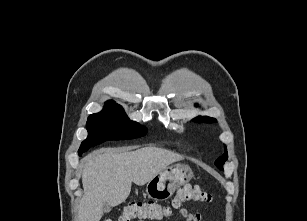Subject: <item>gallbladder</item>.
Returning <instances> with one entry per match:
<instances>
[{
    "mask_svg": "<svg viewBox=\"0 0 307 221\" xmlns=\"http://www.w3.org/2000/svg\"><path fill=\"white\" fill-rule=\"evenodd\" d=\"M110 211H111V206H110L109 204L105 203V204L103 205V212H104V213H108V212H110Z\"/></svg>",
    "mask_w": 307,
    "mask_h": 221,
    "instance_id": "gallbladder-1",
    "label": "gallbladder"
}]
</instances>
